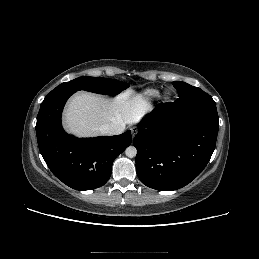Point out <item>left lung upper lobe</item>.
<instances>
[{"mask_svg":"<svg viewBox=\"0 0 259 259\" xmlns=\"http://www.w3.org/2000/svg\"><path fill=\"white\" fill-rule=\"evenodd\" d=\"M173 86L178 91L180 101H195V100H209L212 101V97L201 90L198 87L191 86L185 82L175 81Z\"/></svg>","mask_w":259,"mask_h":259,"instance_id":"obj_1","label":"left lung upper lobe"}]
</instances>
